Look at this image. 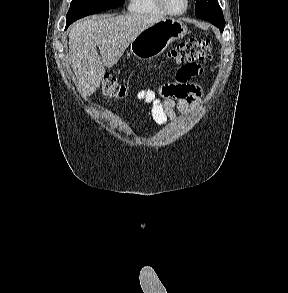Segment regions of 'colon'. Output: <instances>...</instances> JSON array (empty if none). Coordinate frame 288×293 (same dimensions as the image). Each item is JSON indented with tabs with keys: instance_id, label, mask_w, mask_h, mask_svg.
<instances>
[{
	"instance_id": "1",
	"label": "colon",
	"mask_w": 288,
	"mask_h": 293,
	"mask_svg": "<svg viewBox=\"0 0 288 293\" xmlns=\"http://www.w3.org/2000/svg\"><path fill=\"white\" fill-rule=\"evenodd\" d=\"M212 58V44L209 40L190 38L167 54V59L177 65H187L196 61H208ZM102 91L111 99H122L126 96V86L112 75L104 76L102 80Z\"/></svg>"
}]
</instances>
